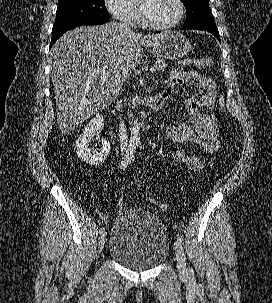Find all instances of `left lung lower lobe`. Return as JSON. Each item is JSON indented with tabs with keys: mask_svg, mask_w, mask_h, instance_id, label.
<instances>
[{
	"mask_svg": "<svg viewBox=\"0 0 272 303\" xmlns=\"http://www.w3.org/2000/svg\"><path fill=\"white\" fill-rule=\"evenodd\" d=\"M182 29H198V30H204L212 33L219 41H220V35L218 32V29L216 27V24H209V25H201L196 27H184Z\"/></svg>",
	"mask_w": 272,
	"mask_h": 303,
	"instance_id": "1",
	"label": "left lung lower lobe"
}]
</instances>
